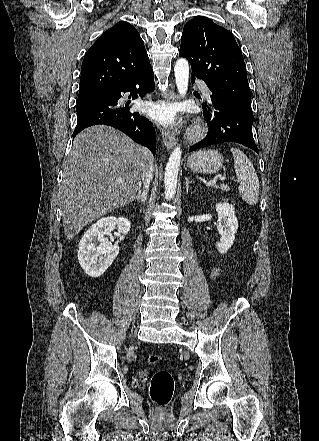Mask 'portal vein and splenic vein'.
<instances>
[{
	"mask_svg": "<svg viewBox=\"0 0 319 441\" xmlns=\"http://www.w3.org/2000/svg\"><path fill=\"white\" fill-rule=\"evenodd\" d=\"M219 178H221V176H219ZM217 179H218V177H215V178L212 179L211 181L207 182V183H206V186H212V185H214V184L217 182ZM118 182H119V183H123L124 180L121 179V178H119V179H118Z\"/></svg>",
	"mask_w": 319,
	"mask_h": 441,
	"instance_id": "obj_1",
	"label": "portal vein and splenic vein"
}]
</instances>
